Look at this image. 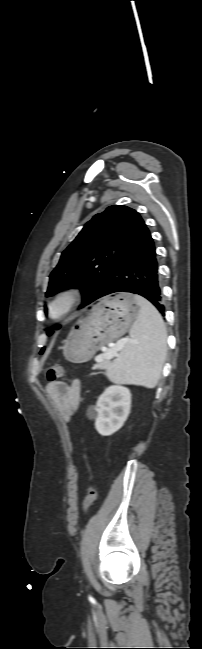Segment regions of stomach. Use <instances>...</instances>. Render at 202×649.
<instances>
[{"label":"stomach","mask_w":202,"mask_h":649,"mask_svg":"<svg viewBox=\"0 0 202 649\" xmlns=\"http://www.w3.org/2000/svg\"><path fill=\"white\" fill-rule=\"evenodd\" d=\"M134 297L120 293L105 297L93 306L89 315L75 324L65 340L63 354L66 360L88 361L102 346L124 335L140 311Z\"/></svg>","instance_id":"obj_1"}]
</instances>
